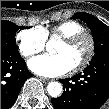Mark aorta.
I'll return each mask as SVG.
<instances>
[{"label":"aorta","mask_w":109,"mask_h":109,"mask_svg":"<svg viewBox=\"0 0 109 109\" xmlns=\"http://www.w3.org/2000/svg\"><path fill=\"white\" fill-rule=\"evenodd\" d=\"M53 44V41H50L47 45L50 47ZM62 85L59 82H50L47 86L48 94L52 97H59L62 93Z\"/></svg>","instance_id":"762f6f07"}]
</instances>
